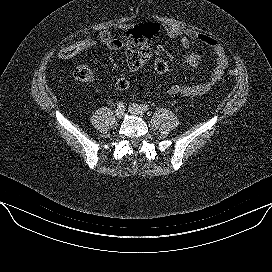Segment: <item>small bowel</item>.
I'll list each match as a JSON object with an SVG mask.
<instances>
[{
	"label": "small bowel",
	"mask_w": 272,
	"mask_h": 272,
	"mask_svg": "<svg viewBox=\"0 0 272 272\" xmlns=\"http://www.w3.org/2000/svg\"><path fill=\"white\" fill-rule=\"evenodd\" d=\"M118 29L122 32L121 37H114L109 29L100 33L99 36L103 45L113 52L123 51L128 68L131 71H137L150 59L152 55L151 47L134 34L132 25L120 24ZM164 30L169 37L179 38L180 45L183 48H189L191 41H197L207 46L215 56V66L206 81L194 85L173 84L169 87V93L171 95L198 97L209 92L220 81L228 66V58L221 43L209 35L184 29L174 24H166ZM184 61L189 67L197 69L201 64L202 56L198 53H189L185 55Z\"/></svg>",
	"instance_id": "c3829d8e"
}]
</instances>
